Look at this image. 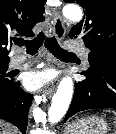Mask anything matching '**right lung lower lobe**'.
I'll use <instances>...</instances> for the list:
<instances>
[{"label": "right lung lower lobe", "instance_id": "1", "mask_svg": "<svg viewBox=\"0 0 116 134\" xmlns=\"http://www.w3.org/2000/svg\"><path fill=\"white\" fill-rule=\"evenodd\" d=\"M32 99L33 96L24 92L19 82H15L10 91L0 93V118L12 123L25 134Z\"/></svg>", "mask_w": 116, "mask_h": 134}]
</instances>
